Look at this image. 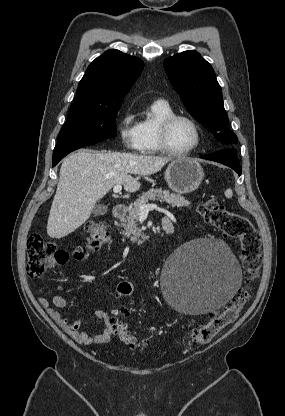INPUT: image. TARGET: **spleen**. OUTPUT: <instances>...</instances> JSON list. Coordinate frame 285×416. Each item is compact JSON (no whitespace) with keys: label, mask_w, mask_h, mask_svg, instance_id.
<instances>
[{"label":"spleen","mask_w":285,"mask_h":416,"mask_svg":"<svg viewBox=\"0 0 285 416\" xmlns=\"http://www.w3.org/2000/svg\"><path fill=\"white\" fill-rule=\"evenodd\" d=\"M225 196L226 198H232L233 196L232 190H225Z\"/></svg>","instance_id":"spleen-1"}]
</instances>
